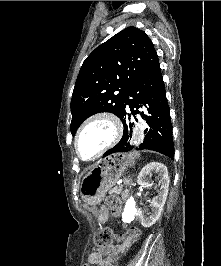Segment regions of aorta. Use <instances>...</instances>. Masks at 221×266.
I'll return each instance as SVG.
<instances>
[{
	"mask_svg": "<svg viewBox=\"0 0 221 266\" xmlns=\"http://www.w3.org/2000/svg\"><path fill=\"white\" fill-rule=\"evenodd\" d=\"M135 200L132 196H130L126 202L124 213H123V218L126 221H130L133 219L135 215Z\"/></svg>",
	"mask_w": 221,
	"mask_h": 266,
	"instance_id": "1",
	"label": "aorta"
}]
</instances>
